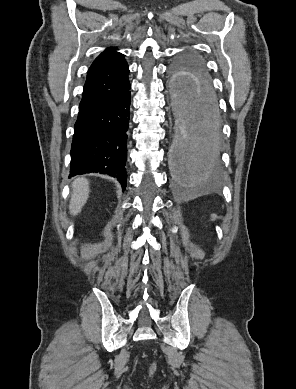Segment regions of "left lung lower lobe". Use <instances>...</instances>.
Returning <instances> with one entry per match:
<instances>
[{"label": "left lung lower lobe", "instance_id": "obj_1", "mask_svg": "<svg viewBox=\"0 0 296 389\" xmlns=\"http://www.w3.org/2000/svg\"><path fill=\"white\" fill-rule=\"evenodd\" d=\"M181 92L191 104L194 118L187 140L181 143L178 166L187 178L205 177L214 171L219 156L217 101L210 79L205 77L196 76L195 89Z\"/></svg>", "mask_w": 296, "mask_h": 389}]
</instances>
